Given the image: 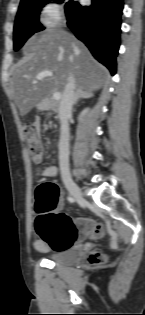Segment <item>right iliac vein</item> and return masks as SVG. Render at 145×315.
I'll return each mask as SVG.
<instances>
[{"label": "right iliac vein", "instance_id": "1", "mask_svg": "<svg viewBox=\"0 0 145 315\" xmlns=\"http://www.w3.org/2000/svg\"><path fill=\"white\" fill-rule=\"evenodd\" d=\"M64 184L67 190L75 199H77L78 201H84V197L80 188L73 180H70V179L65 180Z\"/></svg>", "mask_w": 145, "mask_h": 315}]
</instances>
